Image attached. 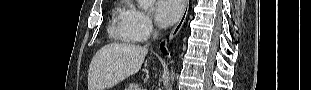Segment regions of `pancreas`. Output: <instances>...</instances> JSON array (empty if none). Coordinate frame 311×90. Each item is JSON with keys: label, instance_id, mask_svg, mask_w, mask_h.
<instances>
[{"label": "pancreas", "instance_id": "pancreas-1", "mask_svg": "<svg viewBox=\"0 0 311 90\" xmlns=\"http://www.w3.org/2000/svg\"><path fill=\"white\" fill-rule=\"evenodd\" d=\"M125 90H140V88L137 83H132L128 86V88H125Z\"/></svg>", "mask_w": 311, "mask_h": 90}]
</instances>
